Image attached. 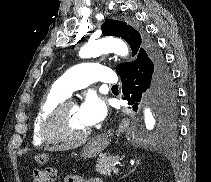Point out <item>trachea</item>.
Masks as SVG:
<instances>
[{
  "instance_id": "obj_1",
  "label": "trachea",
  "mask_w": 211,
  "mask_h": 182,
  "mask_svg": "<svg viewBox=\"0 0 211 182\" xmlns=\"http://www.w3.org/2000/svg\"><path fill=\"white\" fill-rule=\"evenodd\" d=\"M112 88H114V89H118V85H114Z\"/></svg>"
}]
</instances>
